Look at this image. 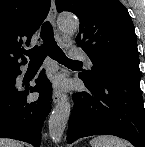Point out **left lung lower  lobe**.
<instances>
[{
    "mask_svg": "<svg viewBox=\"0 0 145 147\" xmlns=\"http://www.w3.org/2000/svg\"><path fill=\"white\" fill-rule=\"evenodd\" d=\"M140 77L139 68L133 66L105 68L92 79L79 73L88 92L73 94L67 143L81 137L108 134L124 138L135 147H145Z\"/></svg>",
    "mask_w": 145,
    "mask_h": 147,
    "instance_id": "left-lung-lower-lobe-1",
    "label": "left lung lower lobe"
}]
</instances>
